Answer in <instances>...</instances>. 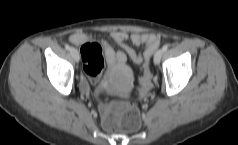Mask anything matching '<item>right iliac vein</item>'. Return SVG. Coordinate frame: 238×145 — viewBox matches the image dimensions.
Here are the masks:
<instances>
[{"mask_svg":"<svg viewBox=\"0 0 238 145\" xmlns=\"http://www.w3.org/2000/svg\"><path fill=\"white\" fill-rule=\"evenodd\" d=\"M70 52H71V55H72V57L74 58V60H75L76 62H79L80 55H79L78 50H77L76 48H71V49H70Z\"/></svg>","mask_w":238,"mask_h":145,"instance_id":"1","label":"right iliac vein"}]
</instances>
